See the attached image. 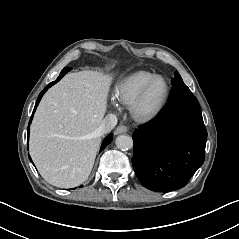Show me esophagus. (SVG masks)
Here are the masks:
<instances>
[{"mask_svg": "<svg viewBox=\"0 0 239 239\" xmlns=\"http://www.w3.org/2000/svg\"><path fill=\"white\" fill-rule=\"evenodd\" d=\"M128 131V128L126 126H118L115 131L114 134L118 135L120 133H126Z\"/></svg>", "mask_w": 239, "mask_h": 239, "instance_id": "1", "label": "esophagus"}]
</instances>
